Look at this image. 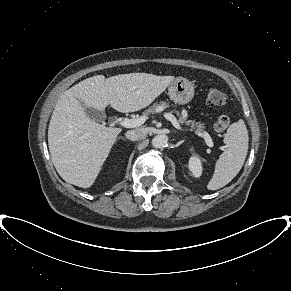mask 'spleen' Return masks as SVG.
I'll list each match as a JSON object with an SVG mask.
<instances>
[{
	"label": "spleen",
	"mask_w": 291,
	"mask_h": 291,
	"mask_svg": "<svg viewBox=\"0 0 291 291\" xmlns=\"http://www.w3.org/2000/svg\"><path fill=\"white\" fill-rule=\"evenodd\" d=\"M225 151L220 155L215 165L214 174L207 188L217 190L229 182L241 170L248 152V130L243 120L229 126L224 136Z\"/></svg>",
	"instance_id": "obj_1"
}]
</instances>
